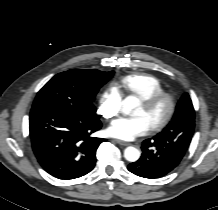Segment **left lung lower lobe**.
<instances>
[{
  "mask_svg": "<svg viewBox=\"0 0 218 210\" xmlns=\"http://www.w3.org/2000/svg\"><path fill=\"white\" fill-rule=\"evenodd\" d=\"M140 159L129 164L128 170L144 178H159L172 171L185 155L187 148L179 143L168 144L158 138L146 139Z\"/></svg>",
  "mask_w": 218,
  "mask_h": 210,
  "instance_id": "obj_1",
  "label": "left lung lower lobe"
}]
</instances>
